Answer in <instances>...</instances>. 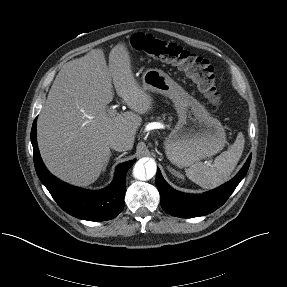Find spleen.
<instances>
[{
	"label": "spleen",
	"mask_w": 287,
	"mask_h": 287,
	"mask_svg": "<svg viewBox=\"0 0 287 287\" xmlns=\"http://www.w3.org/2000/svg\"><path fill=\"white\" fill-rule=\"evenodd\" d=\"M245 144L239 132L233 145L214 159L213 163L197 162L186 170V176L205 189L216 188L225 183L241 158Z\"/></svg>",
	"instance_id": "obj_1"
}]
</instances>
